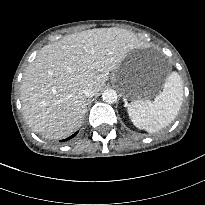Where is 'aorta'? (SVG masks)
Returning <instances> with one entry per match:
<instances>
[{
    "label": "aorta",
    "mask_w": 205,
    "mask_h": 205,
    "mask_svg": "<svg viewBox=\"0 0 205 205\" xmlns=\"http://www.w3.org/2000/svg\"><path fill=\"white\" fill-rule=\"evenodd\" d=\"M102 99L104 102L109 104L115 103L117 101V93L113 89H106L102 93Z\"/></svg>",
    "instance_id": "aorta-1"
}]
</instances>
